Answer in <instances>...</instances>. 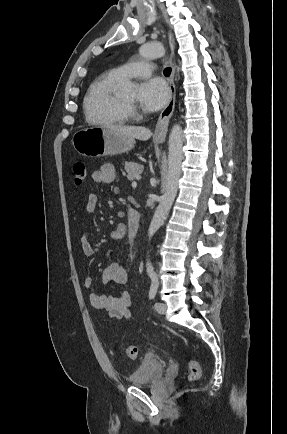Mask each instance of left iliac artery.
Returning <instances> with one entry per match:
<instances>
[{"label": "left iliac artery", "mask_w": 287, "mask_h": 434, "mask_svg": "<svg viewBox=\"0 0 287 434\" xmlns=\"http://www.w3.org/2000/svg\"><path fill=\"white\" fill-rule=\"evenodd\" d=\"M149 277L151 279L149 298L154 299L156 294H157L158 287H159L158 275L156 272L151 271V272H149Z\"/></svg>", "instance_id": "left-iliac-artery-1"}]
</instances>
